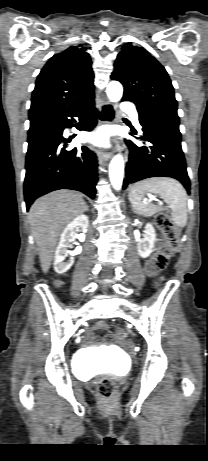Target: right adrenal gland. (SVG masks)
Returning a JSON list of instances; mask_svg holds the SVG:
<instances>
[{
	"instance_id": "right-adrenal-gland-1",
	"label": "right adrenal gland",
	"mask_w": 208,
	"mask_h": 461,
	"mask_svg": "<svg viewBox=\"0 0 208 461\" xmlns=\"http://www.w3.org/2000/svg\"><path fill=\"white\" fill-rule=\"evenodd\" d=\"M85 211H89V208L87 205L85 206Z\"/></svg>"
}]
</instances>
